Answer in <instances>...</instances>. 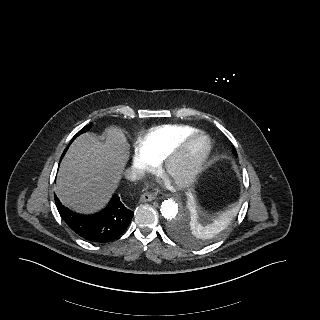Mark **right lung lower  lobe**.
I'll list each match as a JSON object with an SVG mask.
<instances>
[{"mask_svg": "<svg viewBox=\"0 0 320 320\" xmlns=\"http://www.w3.org/2000/svg\"><path fill=\"white\" fill-rule=\"evenodd\" d=\"M57 209L64 222L79 236L95 243H103L118 238L128 227L134 212L113 195L102 211L93 215H80L61 204L54 196Z\"/></svg>", "mask_w": 320, "mask_h": 320, "instance_id": "right-lung-lower-lobe-1", "label": "right lung lower lobe"}]
</instances>
